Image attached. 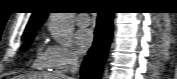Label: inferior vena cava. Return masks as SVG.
I'll return each instance as SVG.
<instances>
[{
  "label": "inferior vena cava",
  "mask_w": 177,
  "mask_h": 79,
  "mask_svg": "<svg viewBox=\"0 0 177 79\" xmlns=\"http://www.w3.org/2000/svg\"><path fill=\"white\" fill-rule=\"evenodd\" d=\"M70 72L75 74L79 70V60L76 55H72L70 59Z\"/></svg>",
  "instance_id": "1"
}]
</instances>
